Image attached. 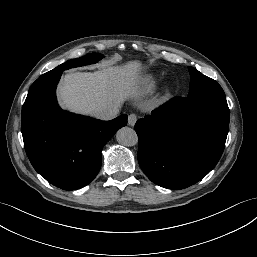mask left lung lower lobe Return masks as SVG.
Segmentation results:
<instances>
[{
    "instance_id": "0a47b994",
    "label": "left lung lower lobe",
    "mask_w": 257,
    "mask_h": 257,
    "mask_svg": "<svg viewBox=\"0 0 257 257\" xmlns=\"http://www.w3.org/2000/svg\"><path fill=\"white\" fill-rule=\"evenodd\" d=\"M226 97H176L135 124L138 162L155 184L183 189L219 161L228 134Z\"/></svg>"
}]
</instances>
